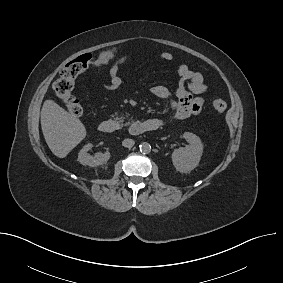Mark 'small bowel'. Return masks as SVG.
Listing matches in <instances>:
<instances>
[{"label": "small bowel", "mask_w": 283, "mask_h": 283, "mask_svg": "<svg viewBox=\"0 0 283 283\" xmlns=\"http://www.w3.org/2000/svg\"><path fill=\"white\" fill-rule=\"evenodd\" d=\"M131 57L132 54H125L112 64L108 81L104 83L107 92H116L121 87L123 77L120 74V68ZM159 57L163 61H171L173 54L162 52ZM177 74L179 82L174 91L164 85H156L151 88L150 92L156 98L170 101L173 119L183 120L201 113L204 104L202 95L207 91V85L201 73L190 69L185 64L178 67ZM159 123L162 124V121Z\"/></svg>", "instance_id": "obj_1"}]
</instances>
